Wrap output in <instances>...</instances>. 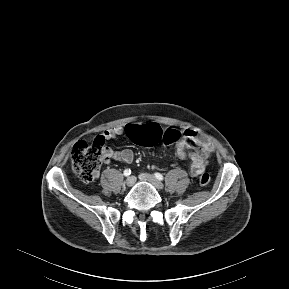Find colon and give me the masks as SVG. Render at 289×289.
<instances>
[{
  "mask_svg": "<svg viewBox=\"0 0 289 289\" xmlns=\"http://www.w3.org/2000/svg\"><path fill=\"white\" fill-rule=\"evenodd\" d=\"M126 132L134 143L145 147H151L158 143L172 144L179 142L183 137L181 131L177 129L163 130L157 123H149L142 127L130 125L126 128ZM103 154V139L100 136L92 144L79 141L74 145L71 163L80 180L89 183L97 177ZM209 182L210 175L208 173H203L199 177L200 185L206 186Z\"/></svg>",
  "mask_w": 289,
  "mask_h": 289,
  "instance_id": "1",
  "label": "colon"
}]
</instances>
